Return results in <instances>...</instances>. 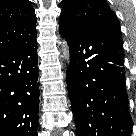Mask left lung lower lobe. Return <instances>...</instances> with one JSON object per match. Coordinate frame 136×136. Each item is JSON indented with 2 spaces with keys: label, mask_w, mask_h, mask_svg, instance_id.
Instances as JSON below:
<instances>
[{
  "label": "left lung lower lobe",
  "mask_w": 136,
  "mask_h": 136,
  "mask_svg": "<svg viewBox=\"0 0 136 136\" xmlns=\"http://www.w3.org/2000/svg\"><path fill=\"white\" fill-rule=\"evenodd\" d=\"M59 31L70 49L67 85L76 136H130L121 37L62 25Z\"/></svg>",
  "instance_id": "obj_1"
}]
</instances>
